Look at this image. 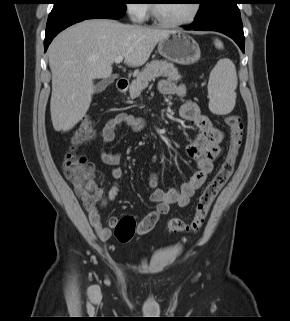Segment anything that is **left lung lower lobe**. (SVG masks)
<instances>
[{"label": "left lung lower lobe", "mask_w": 290, "mask_h": 321, "mask_svg": "<svg viewBox=\"0 0 290 321\" xmlns=\"http://www.w3.org/2000/svg\"><path fill=\"white\" fill-rule=\"evenodd\" d=\"M239 3V0H228L211 14L195 19L191 25L183 26V28L221 32L232 38L244 53L245 38L240 11L237 6Z\"/></svg>", "instance_id": "obj_1"}]
</instances>
